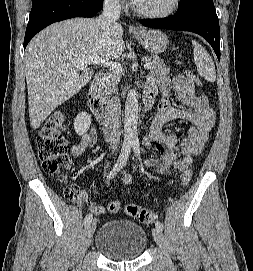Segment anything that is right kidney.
<instances>
[{"mask_svg": "<svg viewBox=\"0 0 253 271\" xmlns=\"http://www.w3.org/2000/svg\"><path fill=\"white\" fill-rule=\"evenodd\" d=\"M91 125V116L86 112L79 113L74 119L75 132L81 136L85 134Z\"/></svg>", "mask_w": 253, "mask_h": 271, "instance_id": "right-kidney-1", "label": "right kidney"}]
</instances>
